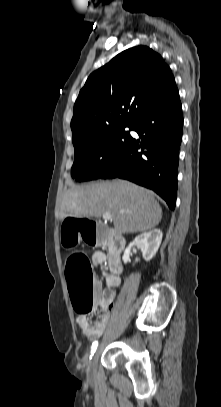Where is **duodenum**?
<instances>
[{
  "instance_id": "410a0bca",
  "label": "duodenum",
  "mask_w": 221,
  "mask_h": 407,
  "mask_svg": "<svg viewBox=\"0 0 221 407\" xmlns=\"http://www.w3.org/2000/svg\"><path fill=\"white\" fill-rule=\"evenodd\" d=\"M110 250L108 256V264L110 271L114 274H119L122 271L121 253L125 246V241L122 236L114 230H109Z\"/></svg>"
}]
</instances>
